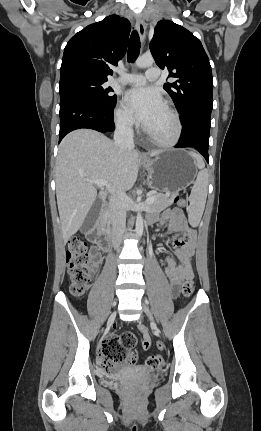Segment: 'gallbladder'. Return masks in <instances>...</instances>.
Segmentation results:
<instances>
[{"instance_id":"obj_1","label":"gallbladder","mask_w":261,"mask_h":431,"mask_svg":"<svg viewBox=\"0 0 261 431\" xmlns=\"http://www.w3.org/2000/svg\"><path fill=\"white\" fill-rule=\"evenodd\" d=\"M100 208H101V200L96 199L81 226L82 232L86 233L94 226L98 218Z\"/></svg>"}]
</instances>
